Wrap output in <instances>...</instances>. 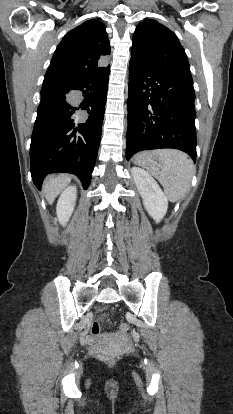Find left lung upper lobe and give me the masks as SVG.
<instances>
[{
	"label": "left lung upper lobe",
	"mask_w": 233,
	"mask_h": 414,
	"mask_svg": "<svg viewBox=\"0 0 233 414\" xmlns=\"http://www.w3.org/2000/svg\"><path fill=\"white\" fill-rule=\"evenodd\" d=\"M131 59L160 73L192 78L186 53L177 36L152 19L137 26Z\"/></svg>",
	"instance_id": "5c2ea615"
}]
</instances>
